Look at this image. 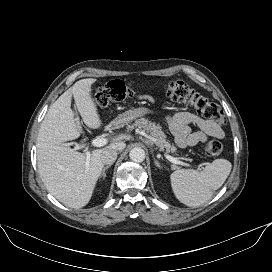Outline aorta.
Wrapping results in <instances>:
<instances>
[{
    "mask_svg": "<svg viewBox=\"0 0 272 272\" xmlns=\"http://www.w3.org/2000/svg\"><path fill=\"white\" fill-rule=\"evenodd\" d=\"M129 157L133 162L141 163L145 159V151L140 147L131 149Z\"/></svg>",
    "mask_w": 272,
    "mask_h": 272,
    "instance_id": "762f6f07",
    "label": "aorta"
}]
</instances>
